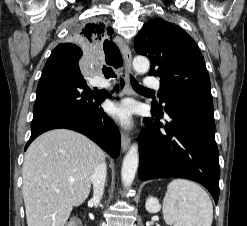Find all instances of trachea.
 Listing matches in <instances>:
<instances>
[{
  "label": "trachea",
  "mask_w": 247,
  "mask_h": 226,
  "mask_svg": "<svg viewBox=\"0 0 247 226\" xmlns=\"http://www.w3.org/2000/svg\"><path fill=\"white\" fill-rule=\"evenodd\" d=\"M102 72H103V74H104V76L106 78H110V77L114 78V77H117V75L115 74V72L111 68L104 67L102 69ZM130 81H131V85H132V87H133L134 90L140 91V92H152V90L147 89V88L143 87L142 85H140L134 79V77L132 75L130 76Z\"/></svg>",
  "instance_id": "obj_1"
}]
</instances>
